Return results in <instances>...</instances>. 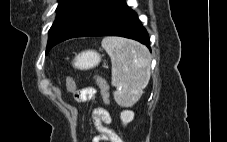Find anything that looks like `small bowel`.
I'll use <instances>...</instances> for the list:
<instances>
[{
    "label": "small bowel",
    "mask_w": 227,
    "mask_h": 142,
    "mask_svg": "<svg viewBox=\"0 0 227 142\" xmlns=\"http://www.w3.org/2000/svg\"><path fill=\"white\" fill-rule=\"evenodd\" d=\"M97 89L95 87H87L80 89L74 93V99L78 102H85L95 98ZM93 124L99 135L93 139V142H124L112 129L107 125L111 123L109 112L102 108L96 107L92 113Z\"/></svg>",
    "instance_id": "1"
}]
</instances>
